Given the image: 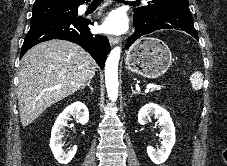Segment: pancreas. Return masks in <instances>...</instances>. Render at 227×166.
Returning <instances> with one entry per match:
<instances>
[{"label":"pancreas","mask_w":227,"mask_h":166,"mask_svg":"<svg viewBox=\"0 0 227 166\" xmlns=\"http://www.w3.org/2000/svg\"><path fill=\"white\" fill-rule=\"evenodd\" d=\"M161 89H162V86L156 85L155 87L151 88V91L161 90Z\"/></svg>","instance_id":"1"}]
</instances>
